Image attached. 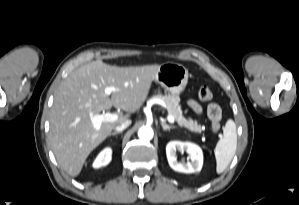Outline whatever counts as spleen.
Segmentation results:
<instances>
[{
  "label": "spleen",
  "mask_w": 299,
  "mask_h": 205,
  "mask_svg": "<svg viewBox=\"0 0 299 205\" xmlns=\"http://www.w3.org/2000/svg\"><path fill=\"white\" fill-rule=\"evenodd\" d=\"M237 148L236 125L229 119L223 127V137L218 141L214 153L216 158V172L221 174L230 164Z\"/></svg>",
  "instance_id": "1"
}]
</instances>
